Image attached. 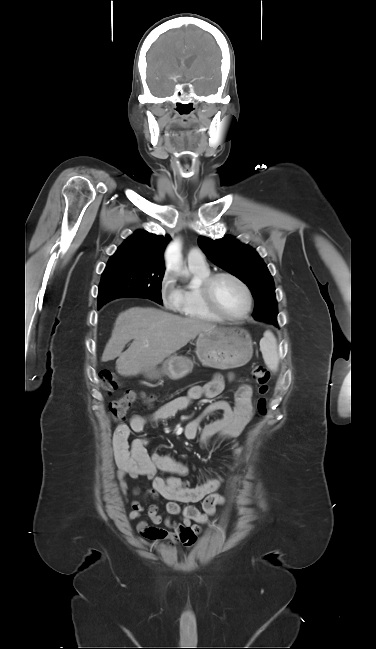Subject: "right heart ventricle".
<instances>
[{"instance_id":"1","label":"right heart ventricle","mask_w":376,"mask_h":649,"mask_svg":"<svg viewBox=\"0 0 376 649\" xmlns=\"http://www.w3.org/2000/svg\"><path fill=\"white\" fill-rule=\"evenodd\" d=\"M189 270L192 278L179 287L180 302L176 311L190 319L210 322L221 321L218 316L205 306L201 296V283L211 274L209 267L207 265L189 264Z\"/></svg>"}]
</instances>
